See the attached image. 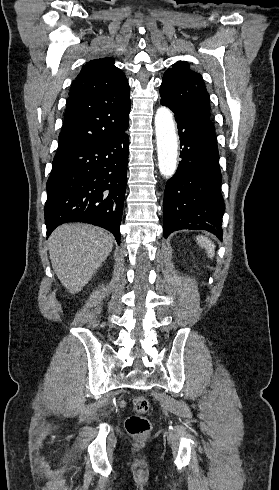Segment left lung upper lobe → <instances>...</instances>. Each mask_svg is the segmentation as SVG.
Wrapping results in <instances>:
<instances>
[{
	"label": "left lung upper lobe",
	"instance_id": "1",
	"mask_svg": "<svg viewBox=\"0 0 279 490\" xmlns=\"http://www.w3.org/2000/svg\"><path fill=\"white\" fill-rule=\"evenodd\" d=\"M160 95L168 106L212 120L209 94L202 76L189 69L186 62H178L163 76Z\"/></svg>",
	"mask_w": 279,
	"mask_h": 490
}]
</instances>
